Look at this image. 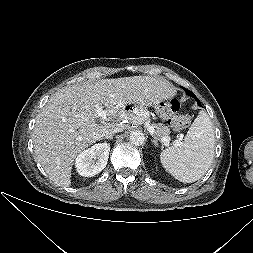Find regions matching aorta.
I'll use <instances>...</instances> for the list:
<instances>
[{
  "mask_svg": "<svg viewBox=\"0 0 253 253\" xmlns=\"http://www.w3.org/2000/svg\"><path fill=\"white\" fill-rule=\"evenodd\" d=\"M130 142L133 144V145H136V146H140L144 143L145 141V136L142 132L140 131H135V132H132L130 134Z\"/></svg>",
  "mask_w": 253,
  "mask_h": 253,
  "instance_id": "obj_1",
  "label": "aorta"
}]
</instances>
